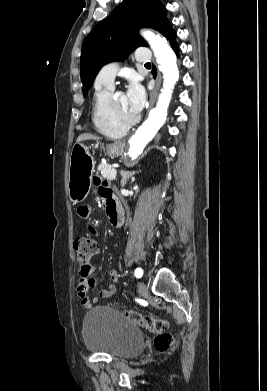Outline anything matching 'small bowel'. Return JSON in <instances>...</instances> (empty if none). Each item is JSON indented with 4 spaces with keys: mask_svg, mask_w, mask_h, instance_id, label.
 I'll use <instances>...</instances> for the list:
<instances>
[{
    "mask_svg": "<svg viewBox=\"0 0 267 391\" xmlns=\"http://www.w3.org/2000/svg\"><path fill=\"white\" fill-rule=\"evenodd\" d=\"M94 185L97 188L98 195L104 200L106 203L107 214L109 218L112 214L121 213V207L118 202L117 197L115 196L111 185L105 181H102L100 178L96 177L94 179ZM91 207L88 205H81L77 209V214L80 218L87 220L90 216ZM89 231L91 233H95L94 228L89 226ZM96 269V263H91L88 269L78 270V283H77V294L81 300V303L84 307H91L92 303L99 301L100 299L111 297L115 291L116 286L119 280L118 273L114 270L109 272V284L105 289H101L98 294L90 299L88 296V292L91 288L95 286V279L92 276V273Z\"/></svg>",
    "mask_w": 267,
    "mask_h": 391,
    "instance_id": "1",
    "label": "small bowel"
}]
</instances>
